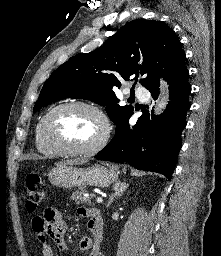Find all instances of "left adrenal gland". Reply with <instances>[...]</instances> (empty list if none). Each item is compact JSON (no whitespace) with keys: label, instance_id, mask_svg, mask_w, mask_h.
<instances>
[{"label":"left adrenal gland","instance_id":"left-adrenal-gland-1","mask_svg":"<svg viewBox=\"0 0 221 256\" xmlns=\"http://www.w3.org/2000/svg\"><path fill=\"white\" fill-rule=\"evenodd\" d=\"M128 184H126L125 182H117L114 184L113 190L114 192L111 194L108 204H107V208L110 207V205L113 203L114 199L117 197H120L123 192L127 189Z\"/></svg>","mask_w":221,"mask_h":256}]
</instances>
